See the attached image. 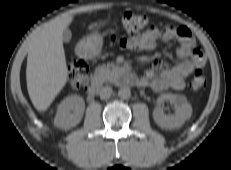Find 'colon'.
Returning a JSON list of instances; mask_svg holds the SVG:
<instances>
[{"mask_svg": "<svg viewBox=\"0 0 231 170\" xmlns=\"http://www.w3.org/2000/svg\"><path fill=\"white\" fill-rule=\"evenodd\" d=\"M119 23L129 34L135 35L143 30L148 19L143 14H137L130 11L119 15ZM87 62L81 58H73L68 66V76L73 89H79L87 84ZM207 77L203 69L197 68L189 82V88L193 92H199L206 88Z\"/></svg>", "mask_w": 231, "mask_h": 170, "instance_id": "1", "label": "colon"}]
</instances>
